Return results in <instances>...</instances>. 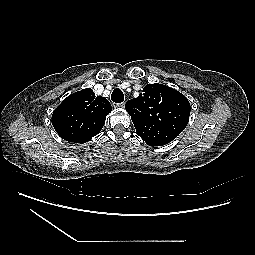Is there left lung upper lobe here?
Here are the masks:
<instances>
[{
    "label": "left lung upper lobe",
    "instance_id": "5c2ea615",
    "mask_svg": "<svg viewBox=\"0 0 255 255\" xmlns=\"http://www.w3.org/2000/svg\"><path fill=\"white\" fill-rule=\"evenodd\" d=\"M137 134L150 146L165 145L187 126L190 116L188 99L163 84H147L137 98L127 101Z\"/></svg>",
    "mask_w": 255,
    "mask_h": 255
}]
</instances>
